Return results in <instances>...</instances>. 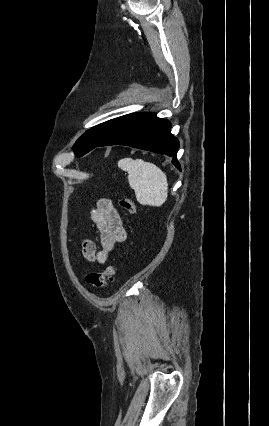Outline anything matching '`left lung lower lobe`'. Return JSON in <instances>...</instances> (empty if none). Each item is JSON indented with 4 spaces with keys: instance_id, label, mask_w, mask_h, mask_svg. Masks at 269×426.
Returning a JSON list of instances; mask_svg holds the SVG:
<instances>
[{
    "instance_id": "obj_1",
    "label": "left lung lower lobe",
    "mask_w": 269,
    "mask_h": 426,
    "mask_svg": "<svg viewBox=\"0 0 269 426\" xmlns=\"http://www.w3.org/2000/svg\"><path fill=\"white\" fill-rule=\"evenodd\" d=\"M168 120L154 113H133L121 116L98 146L126 145L173 157L172 163L181 170L176 159L179 141L170 133Z\"/></svg>"
}]
</instances>
